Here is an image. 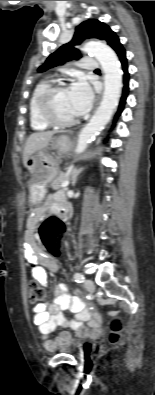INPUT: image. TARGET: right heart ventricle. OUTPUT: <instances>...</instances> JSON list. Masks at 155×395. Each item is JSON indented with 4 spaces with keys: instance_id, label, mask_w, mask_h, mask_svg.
Segmentation results:
<instances>
[{
    "instance_id": "e07e8e85",
    "label": "right heart ventricle",
    "mask_w": 155,
    "mask_h": 395,
    "mask_svg": "<svg viewBox=\"0 0 155 395\" xmlns=\"http://www.w3.org/2000/svg\"><path fill=\"white\" fill-rule=\"evenodd\" d=\"M50 86V82L48 80H43L39 82L32 91L31 97L29 99V121L30 126L33 130L36 131H44L50 127L47 123H45L39 116L37 111V101L40 94Z\"/></svg>"
}]
</instances>
